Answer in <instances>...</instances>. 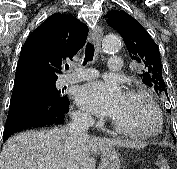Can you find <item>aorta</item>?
<instances>
[{
  "instance_id": "1",
  "label": "aorta",
  "mask_w": 177,
  "mask_h": 169,
  "mask_svg": "<svg viewBox=\"0 0 177 169\" xmlns=\"http://www.w3.org/2000/svg\"><path fill=\"white\" fill-rule=\"evenodd\" d=\"M120 46L121 41L117 35H107L103 40V49L106 53L116 52Z\"/></svg>"
}]
</instances>
